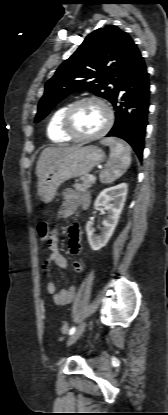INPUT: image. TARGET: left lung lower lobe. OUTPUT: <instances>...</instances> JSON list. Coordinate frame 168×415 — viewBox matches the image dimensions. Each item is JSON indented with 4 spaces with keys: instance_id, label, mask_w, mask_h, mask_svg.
Segmentation results:
<instances>
[{
    "instance_id": "0a47b994",
    "label": "left lung lower lobe",
    "mask_w": 168,
    "mask_h": 415,
    "mask_svg": "<svg viewBox=\"0 0 168 415\" xmlns=\"http://www.w3.org/2000/svg\"><path fill=\"white\" fill-rule=\"evenodd\" d=\"M123 92L120 105L118 97ZM148 72L141 54L137 56L123 77L111 101L115 108V124L106 137H118L127 141L142 160L144 138L149 108Z\"/></svg>"
}]
</instances>
